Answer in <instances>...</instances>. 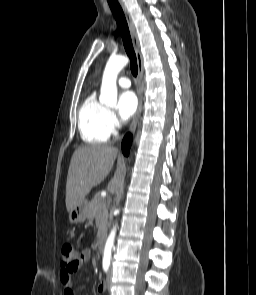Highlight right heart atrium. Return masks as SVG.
<instances>
[{"label":"right heart atrium","instance_id":"obj_1","mask_svg":"<svg viewBox=\"0 0 256 295\" xmlns=\"http://www.w3.org/2000/svg\"><path fill=\"white\" fill-rule=\"evenodd\" d=\"M107 121L111 133H115L118 127V120L112 111H108Z\"/></svg>","mask_w":256,"mask_h":295}]
</instances>
